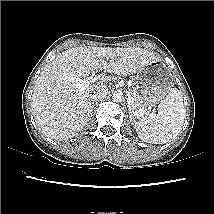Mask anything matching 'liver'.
<instances>
[{
    "label": "liver",
    "mask_w": 214,
    "mask_h": 214,
    "mask_svg": "<svg viewBox=\"0 0 214 214\" xmlns=\"http://www.w3.org/2000/svg\"><path fill=\"white\" fill-rule=\"evenodd\" d=\"M156 59L154 53L139 47H75L60 53L44 67L34 87L32 113L39 130L53 140L74 137L90 120V95L112 79L105 76L80 90L72 83V77H86L105 69L124 77Z\"/></svg>",
    "instance_id": "liver-1"
}]
</instances>
